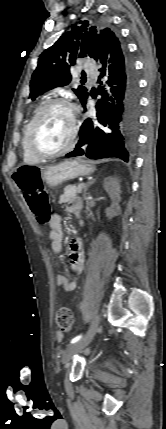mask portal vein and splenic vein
<instances>
[{
	"label": "portal vein and splenic vein",
	"instance_id": "1",
	"mask_svg": "<svg viewBox=\"0 0 166 429\" xmlns=\"http://www.w3.org/2000/svg\"><path fill=\"white\" fill-rule=\"evenodd\" d=\"M83 186H84V184L81 183V184L78 185V188L81 189V188H83Z\"/></svg>",
	"mask_w": 166,
	"mask_h": 429
}]
</instances>
